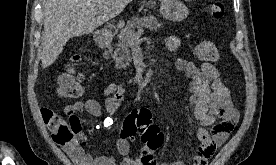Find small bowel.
Returning a JSON list of instances; mask_svg holds the SVG:
<instances>
[{
	"mask_svg": "<svg viewBox=\"0 0 276 165\" xmlns=\"http://www.w3.org/2000/svg\"><path fill=\"white\" fill-rule=\"evenodd\" d=\"M181 43L178 36H171L166 40L167 48L176 50ZM174 66L183 72L190 80V114L188 121L201 142L198 154L192 165H207L218 147L227 139L230 132L236 126L239 113L233 107L230 99V91L223 83L217 67L211 63H202L197 66L193 62L176 58ZM105 96L104 106L94 98H88L84 102L76 101L65 106L64 114L69 122L80 126L78 141L68 145H61L75 165H187L182 159L177 158L172 162H157L153 152L142 148L135 158L129 157L130 144L125 138L116 142V150L119 162L112 156L87 153L83 147L85 135L78 114L87 112L89 115L100 118L103 112L106 116L100 123L94 124V129L109 127L113 124L112 116L119 110L123 98L124 88L120 83H110L103 89ZM53 112L48 108H42L43 119L50 129L46 114ZM207 127H211L208 131Z\"/></svg>",
	"mask_w": 276,
	"mask_h": 165,
	"instance_id": "c3829d8e",
	"label": "small bowel"
}]
</instances>
